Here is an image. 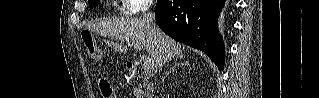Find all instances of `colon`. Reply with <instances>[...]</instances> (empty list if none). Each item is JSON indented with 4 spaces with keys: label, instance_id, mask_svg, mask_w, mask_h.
<instances>
[{
    "label": "colon",
    "instance_id": "1",
    "mask_svg": "<svg viewBox=\"0 0 319 98\" xmlns=\"http://www.w3.org/2000/svg\"><path fill=\"white\" fill-rule=\"evenodd\" d=\"M81 36H82L85 51L88 54V56L91 57L92 59L99 60L102 54L91 32L88 30H84L82 31ZM99 86L105 98H112L113 96L112 88L107 80L101 79L99 81Z\"/></svg>",
    "mask_w": 319,
    "mask_h": 98
}]
</instances>
